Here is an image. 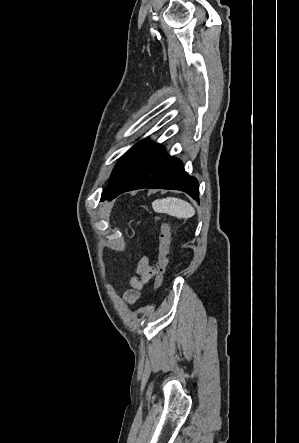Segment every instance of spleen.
<instances>
[{
	"label": "spleen",
	"mask_w": 299,
	"mask_h": 443,
	"mask_svg": "<svg viewBox=\"0 0 299 443\" xmlns=\"http://www.w3.org/2000/svg\"><path fill=\"white\" fill-rule=\"evenodd\" d=\"M152 207L157 213H166L177 218H191L195 215V210L190 203L175 197L155 200Z\"/></svg>",
	"instance_id": "obj_1"
}]
</instances>
